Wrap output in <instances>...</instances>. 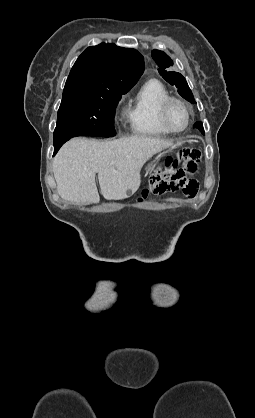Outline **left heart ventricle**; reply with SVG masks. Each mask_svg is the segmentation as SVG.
Instances as JSON below:
<instances>
[{
	"mask_svg": "<svg viewBox=\"0 0 255 418\" xmlns=\"http://www.w3.org/2000/svg\"><path fill=\"white\" fill-rule=\"evenodd\" d=\"M168 121L173 128L182 129L187 122L185 108L178 103H173L168 112Z\"/></svg>",
	"mask_w": 255,
	"mask_h": 418,
	"instance_id": "left-heart-ventricle-1",
	"label": "left heart ventricle"
}]
</instances>
